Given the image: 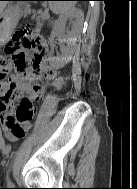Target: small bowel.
Here are the masks:
<instances>
[{"instance_id": "small-bowel-1", "label": "small bowel", "mask_w": 137, "mask_h": 189, "mask_svg": "<svg viewBox=\"0 0 137 189\" xmlns=\"http://www.w3.org/2000/svg\"><path fill=\"white\" fill-rule=\"evenodd\" d=\"M46 67L50 66L42 62L40 65L41 71ZM51 70L52 74L50 76L45 77L41 73L35 82L25 80L22 73L19 72L13 75L9 83L4 86V91L2 94L0 93V124L8 140L16 141L23 137L31 127L32 119L35 116L33 114L18 119L16 117L17 108H14V103L16 101L20 103L27 99L35 107V103L38 102L48 85L57 88L62 84V78L57 74V71L53 68Z\"/></svg>"}]
</instances>
